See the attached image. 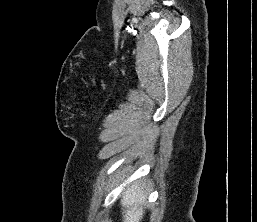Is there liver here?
Returning <instances> with one entry per match:
<instances>
[{
  "label": "liver",
  "mask_w": 257,
  "mask_h": 222,
  "mask_svg": "<svg viewBox=\"0 0 257 222\" xmlns=\"http://www.w3.org/2000/svg\"><path fill=\"white\" fill-rule=\"evenodd\" d=\"M144 191L139 183L128 188L122 196L123 222H140L143 218L145 206Z\"/></svg>",
  "instance_id": "obj_1"
}]
</instances>
